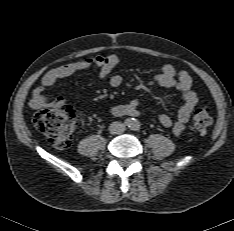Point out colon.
Listing matches in <instances>:
<instances>
[{"label": "colon", "instance_id": "obj_1", "mask_svg": "<svg viewBox=\"0 0 234 231\" xmlns=\"http://www.w3.org/2000/svg\"><path fill=\"white\" fill-rule=\"evenodd\" d=\"M78 122V115L71 107L45 109L34 116L35 127L46 135L49 144L55 149H66L71 143V133ZM193 127L205 132L211 125L212 118L205 108H198L192 117Z\"/></svg>", "mask_w": 234, "mask_h": 231}]
</instances>
